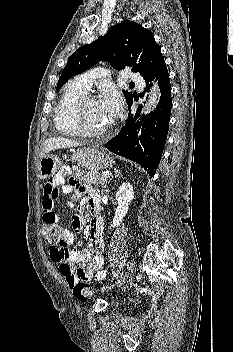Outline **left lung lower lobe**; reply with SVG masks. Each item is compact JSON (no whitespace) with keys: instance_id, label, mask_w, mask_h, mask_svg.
Masks as SVG:
<instances>
[{"instance_id":"obj_1","label":"left lung lower lobe","mask_w":233,"mask_h":352,"mask_svg":"<svg viewBox=\"0 0 233 352\" xmlns=\"http://www.w3.org/2000/svg\"><path fill=\"white\" fill-rule=\"evenodd\" d=\"M154 79L158 80L161 92L156 109L148 115L140 116L137 112L135 117L129 116L119 134L105 144L111 152L139 163L150 176H154L160 162L171 115V87L165 61L145 78L144 92L149 91ZM132 104L133 99L128 103L129 109Z\"/></svg>"}]
</instances>
